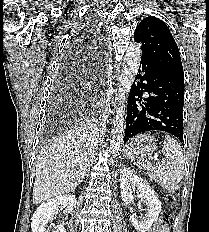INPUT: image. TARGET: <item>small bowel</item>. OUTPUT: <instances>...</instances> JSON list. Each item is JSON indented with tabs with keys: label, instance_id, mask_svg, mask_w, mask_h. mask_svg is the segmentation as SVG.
<instances>
[{
	"label": "small bowel",
	"instance_id": "1",
	"mask_svg": "<svg viewBox=\"0 0 209 232\" xmlns=\"http://www.w3.org/2000/svg\"><path fill=\"white\" fill-rule=\"evenodd\" d=\"M153 232H169L167 227H162L160 225H158L154 230Z\"/></svg>",
	"mask_w": 209,
	"mask_h": 232
}]
</instances>
